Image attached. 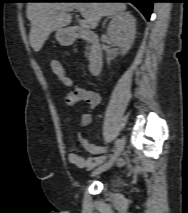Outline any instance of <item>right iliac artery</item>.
<instances>
[{"label": "right iliac artery", "instance_id": "82829eb1", "mask_svg": "<svg viewBox=\"0 0 188 213\" xmlns=\"http://www.w3.org/2000/svg\"><path fill=\"white\" fill-rule=\"evenodd\" d=\"M119 142H120V139H117V140L115 141V148L117 147V145L119 144ZM100 163H102V161H98V162H97V164H100Z\"/></svg>", "mask_w": 188, "mask_h": 213}]
</instances>
